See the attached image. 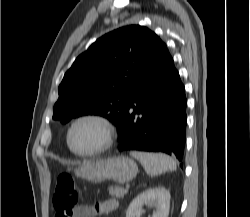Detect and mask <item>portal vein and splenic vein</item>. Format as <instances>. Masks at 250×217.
<instances>
[{
	"label": "portal vein and splenic vein",
	"mask_w": 250,
	"mask_h": 217,
	"mask_svg": "<svg viewBox=\"0 0 250 217\" xmlns=\"http://www.w3.org/2000/svg\"><path fill=\"white\" fill-rule=\"evenodd\" d=\"M128 192V188L124 189V193H127Z\"/></svg>",
	"instance_id": "1"
}]
</instances>
